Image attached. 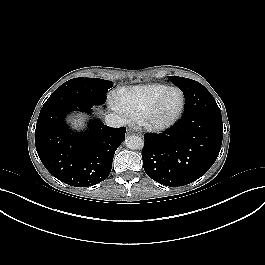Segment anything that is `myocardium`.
<instances>
[{
	"instance_id": "f54148a6",
	"label": "myocardium",
	"mask_w": 265,
	"mask_h": 265,
	"mask_svg": "<svg viewBox=\"0 0 265 265\" xmlns=\"http://www.w3.org/2000/svg\"><path fill=\"white\" fill-rule=\"evenodd\" d=\"M169 91H177L180 94V97H181L180 105L177 111L172 116H170L167 119L159 120L156 118L157 109L159 105L161 104L162 100L164 99L165 95ZM185 104H186V98H185V94L182 91V89L176 86H168L153 101V103L147 110L145 116L140 121V125L146 130L151 131V132L166 131L170 129L171 127H173L178 122V120L181 118L184 112V109H185Z\"/></svg>"
}]
</instances>
